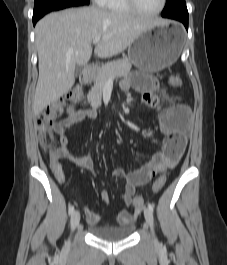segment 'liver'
Here are the masks:
<instances>
[{
  "label": "liver",
  "mask_w": 227,
  "mask_h": 265,
  "mask_svg": "<svg viewBox=\"0 0 227 265\" xmlns=\"http://www.w3.org/2000/svg\"><path fill=\"white\" fill-rule=\"evenodd\" d=\"M154 23L123 13L94 7L72 8L43 17L35 27L39 77L32 104L39 115L66 94L75 83V68L95 54L108 58L123 52Z\"/></svg>",
  "instance_id": "1"
}]
</instances>
